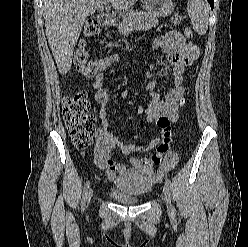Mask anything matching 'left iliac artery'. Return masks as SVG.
<instances>
[{"label": "left iliac artery", "instance_id": "left-iliac-artery-1", "mask_svg": "<svg viewBox=\"0 0 248 247\" xmlns=\"http://www.w3.org/2000/svg\"><path fill=\"white\" fill-rule=\"evenodd\" d=\"M166 181L169 183V185L171 187L172 186V182L169 179H167ZM175 213H176V210H175L174 207H172V214H175Z\"/></svg>", "mask_w": 248, "mask_h": 247}]
</instances>
